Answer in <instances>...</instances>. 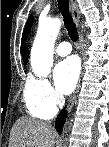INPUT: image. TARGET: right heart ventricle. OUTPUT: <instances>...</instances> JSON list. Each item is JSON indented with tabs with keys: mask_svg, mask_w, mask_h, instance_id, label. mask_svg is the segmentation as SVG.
I'll list each match as a JSON object with an SVG mask.
<instances>
[{
	"mask_svg": "<svg viewBox=\"0 0 109 147\" xmlns=\"http://www.w3.org/2000/svg\"><path fill=\"white\" fill-rule=\"evenodd\" d=\"M29 84L27 85V88ZM25 106H26L28 113L34 118L47 119L48 117L54 116V114L45 111L40 106H38L33 101H31L29 98L25 99Z\"/></svg>",
	"mask_w": 109,
	"mask_h": 147,
	"instance_id": "1",
	"label": "right heart ventricle"
}]
</instances>
